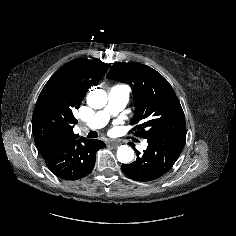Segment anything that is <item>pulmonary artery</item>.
Wrapping results in <instances>:
<instances>
[{
	"label": "pulmonary artery",
	"instance_id": "1",
	"mask_svg": "<svg viewBox=\"0 0 236 236\" xmlns=\"http://www.w3.org/2000/svg\"><path fill=\"white\" fill-rule=\"evenodd\" d=\"M129 88L125 85L117 84L110 88L108 104L102 111L97 112L93 118L85 125L86 129H99L104 127L111 117L117 115L126 105L129 99ZM147 146V143H143Z\"/></svg>",
	"mask_w": 236,
	"mask_h": 236
}]
</instances>
